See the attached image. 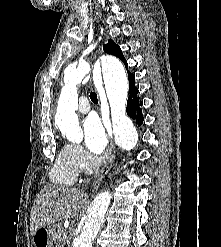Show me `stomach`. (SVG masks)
<instances>
[{
	"mask_svg": "<svg viewBox=\"0 0 221 247\" xmlns=\"http://www.w3.org/2000/svg\"><path fill=\"white\" fill-rule=\"evenodd\" d=\"M53 241V229L49 227L39 228L32 235L34 247H52Z\"/></svg>",
	"mask_w": 221,
	"mask_h": 247,
	"instance_id": "stomach-1",
	"label": "stomach"
}]
</instances>
